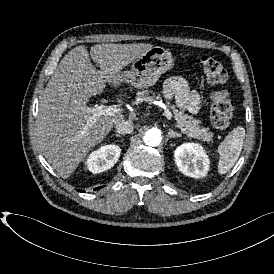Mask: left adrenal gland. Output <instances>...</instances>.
<instances>
[{
    "mask_svg": "<svg viewBox=\"0 0 274 274\" xmlns=\"http://www.w3.org/2000/svg\"><path fill=\"white\" fill-rule=\"evenodd\" d=\"M168 137L170 138L181 137V134L173 131L172 129H169Z\"/></svg>",
    "mask_w": 274,
    "mask_h": 274,
    "instance_id": "left-adrenal-gland-1",
    "label": "left adrenal gland"
}]
</instances>
